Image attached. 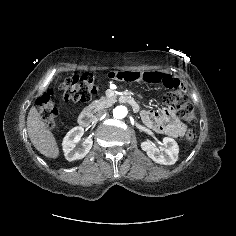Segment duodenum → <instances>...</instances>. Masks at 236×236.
I'll list each match as a JSON object with an SVG mask.
<instances>
[{
	"instance_id": "duodenum-1",
	"label": "duodenum",
	"mask_w": 236,
	"mask_h": 236,
	"mask_svg": "<svg viewBox=\"0 0 236 236\" xmlns=\"http://www.w3.org/2000/svg\"><path fill=\"white\" fill-rule=\"evenodd\" d=\"M118 99L121 101V102H124L126 104H129L133 110L135 111H139V105H138V102L130 95H127V94H123V95H120L118 97ZM79 123L81 126H84V127H87L91 124L92 122V116L90 114V112L88 111H83L80 115H79Z\"/></svg>"
}]
</instances>
